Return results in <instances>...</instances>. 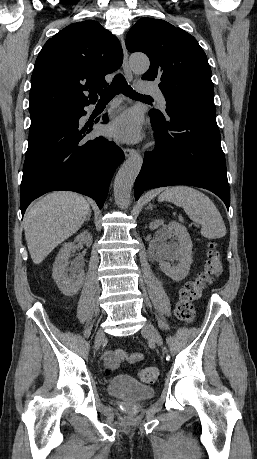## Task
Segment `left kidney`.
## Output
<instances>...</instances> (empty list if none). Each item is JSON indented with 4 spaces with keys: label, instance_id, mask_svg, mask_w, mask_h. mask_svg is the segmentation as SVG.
<instances>
[{
    "label": "left kidney",
    "instance_id": "5707ae66",
    "mask_svg": "<svg viewBox=\"0 0 257 459\" xmlns=\"http://www.w3.org/2000/svg\"><path fill=\"white\" fill-rule=\"evenodd\" d=\"M151 230L160 228L157 233L159 241L157 252L161 270L172 280L179 282L189 273L192 259V241L186 227L178 222L164 224L163 220H155L149 224ZM175 235L179 245L167 243V238ZM175 259L178 261L177 266H171L166 260Z\"/></svg>",
    "mask_w": 257,
    "mask_h": 459
}]
</instances>
